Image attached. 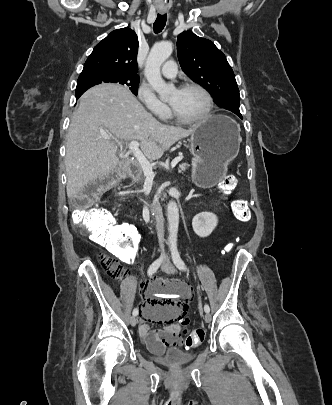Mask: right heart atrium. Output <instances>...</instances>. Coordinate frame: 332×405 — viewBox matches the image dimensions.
<instances>
[{"label": "right heart atrium", "mask_w": 332, "mask_h": 405, "mask_svg": "<svg viewBox=\"0 0 332 405\" xmlns=\"http://www.w3.org/2000/svg\"><path fill=\"white\" fill-rule=\"evenodd\" d=\"M137 97L146 110L152 115L165 118L169 114V109L165 103L160 101L150 87L141 84L137 90Z\"/></svg>", "instance_id": "1"}]
</instances>
